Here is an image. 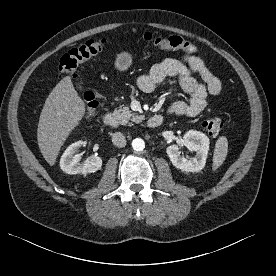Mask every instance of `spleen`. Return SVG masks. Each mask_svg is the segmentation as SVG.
Here are the masks:
<instances>
[{
    "instance_id": "obj_1",
    "label": "spleen",
    "mask_w": 276,
    "mask_h": 276,
    "mask_svg": "<svg viewBox=\"0 0 276 276\" xmlns=\"http://www.w3.org/2000/svg\"><path fill=\"white\" fill-rule=\"evenodd\" d=\"M227 152H228L227 138L224 136H221L218 138L215 144L214 155H213V165H212V168L214 171L223 164V162L226 159Z\"/></svg>"
}]
</instances>
